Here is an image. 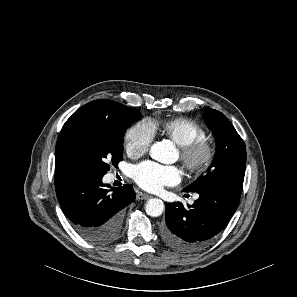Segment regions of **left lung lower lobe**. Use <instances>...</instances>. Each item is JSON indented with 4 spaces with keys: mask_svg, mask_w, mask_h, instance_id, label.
I'll return each instance as SVG.
<instances>
[{
    "mask_svg": "<svg viewBox=\"0 0 297 297\" xmlns=\"http://www.w3.org/2000/svg\"><path fill=\"white\" fill-rule=\"evenodd\" d=\"M199 198L185 208L182 203H166L163 241L172 249L193 252L205 246L222 231L235 213L242 187L210 185L196 191Z\"/></svg>",
    "mask_w": 297,
    "mask_h": 297,
    "instance_id": "obj_1",
    "label": "left lung lower lobe"
}]
</instances>
